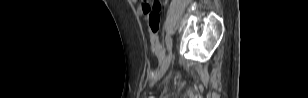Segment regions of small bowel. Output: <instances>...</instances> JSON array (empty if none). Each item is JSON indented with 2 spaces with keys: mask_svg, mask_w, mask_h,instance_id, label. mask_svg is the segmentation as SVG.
I'll return each instance as SVG.
<instances>
[{
  "mask_svg": "<svg viewBox=\"0 0 308 98\" xmlns=\"http://www.w3.org/2000/svg\"><path fill=\"white\" fill-rule=\"evenodd\" d=\"M144 4H145V3L142 4V6H141V8H140V11L143 9V5H144Z\"/></svg>",
  "mask_w": 308,
  "mask_h": 98,
  "instance_id": "small-bowel-1",
  "label": "small bowel"
}]
</instances>
